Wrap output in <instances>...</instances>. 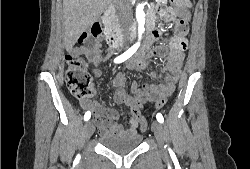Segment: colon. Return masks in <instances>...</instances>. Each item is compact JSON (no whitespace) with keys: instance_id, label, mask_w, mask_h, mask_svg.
Here are the masks:
<instances>
[{"instance_id":"5ec220e1","label":"colon","mask_w":250,"mask_h":169,"mask_svg":"<svg viewBox=\"0 0 250 169\" xmlns=\"http://www.w3.org/2000/svg\"><path fill=\"white\" fill-rule=\"evenodd\" d=\"M175 6H189V2L187 0H177L175 1ZM176 26L181 33L185 32L187 29L184 20L178 21ZM102 33L103 29L101 25L96 22L87 32L77 34L76 42L83 45H90L95 39L101 36ZM66 66L65 81L70 92L79 99H85L92 96V78L72 53L66 55ZM161 95H168V93H161ZM167 100V97H158L156 101L157 103H155V108H163V104H166ZM130 106L132 108L131 114L136 120H138V124H140V130L142 132L146 131L147 124L142 112L139 110L146 105L143 103H131Z\"/></svg>"}]
</instances>
